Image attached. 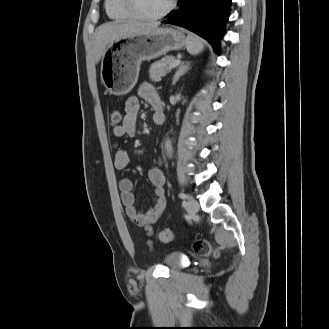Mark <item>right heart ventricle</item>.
<instances>
[{"mask_svg": "<svg viewBox=\"0 0 329 329\" xmlns=\"http://www.w3.org/2000/svg\"><path fill=\"white\" fill-rule=\"evenodd\" d=\"M107 16L115 21H125L133 18L122 6L121 0H105Z\"/></svg>", "mask_w": 329, "mask_h": 329, "instance_id": "obj_1", "label": "right heart ventricle"}]
</instances>
